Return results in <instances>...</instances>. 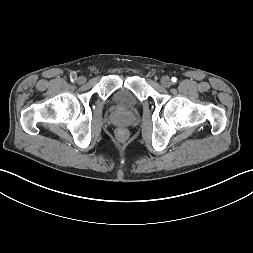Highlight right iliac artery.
I'll list each match as a JSON object with an SVG mask.
<instances>
[{"instance_id": "right-iliac-artery-1", "label": "right iliac artery", "mask_w": 253, "mask_h": 253, "mask_svg": "<svg viewBox=\"0 0 253 253\" xmlns=\"http://www.w3.org/2000/svg\"><path fill=\"white\" fill-rule=\"evenodd\" d=\"M76 77H77L76 73H71L70 74V79H71L72 82H74L76 80Z\"/></svg>"}]
</instances>
